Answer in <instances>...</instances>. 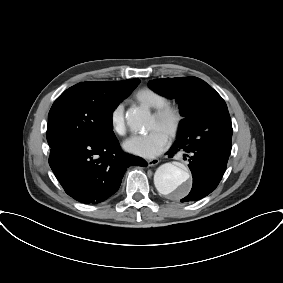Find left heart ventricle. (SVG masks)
<instances>
[{
	"label": "left heart ventricle",
	"instance_id": "obj_1",
	"mask_svg": "<svg viewBox=\"0 0 283 283\" xmlns=\"http://www.w3.org/2000/svg\"><path fill=\"white\" fill-rule=\"evenodd\" d=\"M170 122L168 120H158L155 117L151 116L149 120L148 129L152 130L154 128L160 129L167 134L169 130Z\"/></svg>",
	"mask_w": 283,
	"mask_h": 283
}]
</instances>
